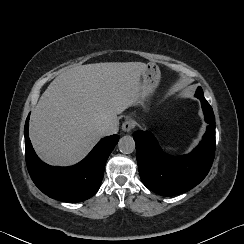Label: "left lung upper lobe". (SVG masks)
<instances>
[{
	"label": "left lung upper lobe",
	"instance_id": "1",
	"mask_svg": "<svg viewBox=\"0 0 244 244\" xmlns=\"http://www.w3.org/2000/svg\"><path fill=\"white\" fill-rule=\"evenodd\" d=\"M196 97L198 99H200V101H203V103H205L206 105H209V103L206 101V99L203 96V91L201 88H198V90L196 92ZM211 114H212V117H214L213 112Z\"/></svg>",
	"mask_w": 244,
	"mask_h": 244
}]
</instances>
